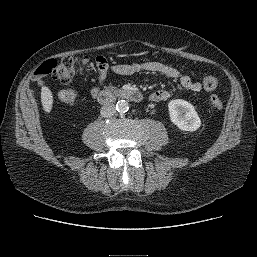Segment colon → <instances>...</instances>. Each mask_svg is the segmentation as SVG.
Listing matches in <instances>:
<instances>
[{"label": "colon", "instance_id": "5ec220e1", "mask_svg": "<svg viewBox=\"0 0 257 257\" xmlns=\"http://www.w3.org/2000/svg\"><path fill=\"white\" fill-rule=\"evenodd\" d=\"M86 61L85 58L79 59L72 56H67L60 60H47L38 67L36 74L38 76L51 75L54 79L66 84L73 79L78 70L83 68ZM202 82L204 88L208 91L215 90L218 86L217 79L211 75L205 76ZM58 97L61 102L71 104L75 102L77 93L72 89H66L62 90ZM209 104L216 111L223 106L221 98L215 94L210 96Z\"/></svg>", "mask_w": 257, "mask_h": 257}]
</instances>
